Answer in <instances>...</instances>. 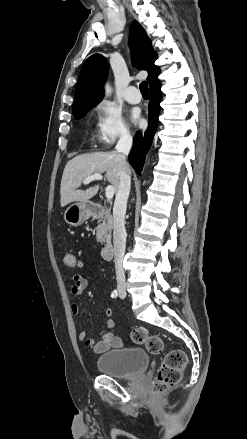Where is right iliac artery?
Returning a JSON list of instances; mask_svg holds the SVG:
<instances>
[{
  "label": "right iliac artery",
  "instance_id": "right-iliac-artery-1",
  "mask_svg": "<svg viewBox=\"0 0 247 439\" xmlns=\"http://www.w3.org/2000/svg\"><path fill=\"white\" fill-rule=\"evenodd\" d=\"M117 296H118V291L117 290L112 291L111 297L112 298H117Z\"/></svg>",
  "mask_w": 247,
  "mask_h": 439
}]
</instances>
